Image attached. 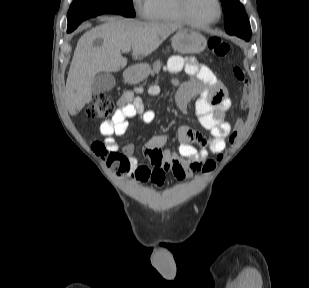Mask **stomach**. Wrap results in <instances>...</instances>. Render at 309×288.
Here are the masks:
<instances>
[{"mask_svg":"<svg viewBox=\"0 0 309 288\" xmlns=\"http://www.w3.org/2000/svg\"><path fill=\"white\" fill-rule=\"evenodd\" d=\"M173 49L180 54H197L206 48L205 37L194 30L180 28L171 39ZM150 73V66L142 63L131 67L124 73L128 83H139L145 80Z\"/></svg>","mask_w":309,"mask_h":288,"instance_id":"stomach-1","label":"stomach"}]
</instances>
